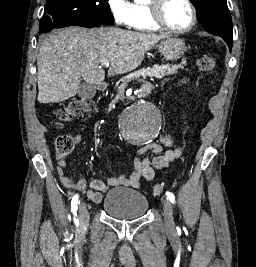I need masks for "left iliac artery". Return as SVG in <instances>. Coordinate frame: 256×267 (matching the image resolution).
Instances as JSON below:
<instances>
[{"mask_svg":"<svg viewBox=\"0 0 256 267\" xmlns=\"http://www.w3.org/2000/svg\"><path fill=\"white\" fill-rule=\"evenodd\" d=\"M166 195H167V198L169 199V201H170L171 203H175V196H174L173 193H171V192H166Z\"/></svg>","mask_w":256,"mask_h":267,"instance_id":"left-iliac-artery-1","label":"left iliac artery"}]
</instances>
